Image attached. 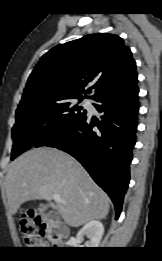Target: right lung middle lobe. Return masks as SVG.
<instances>
[{
  "mask_svg": "<svg viewBox=\"0 0 162 261\" xmlns=\"http://www.w3.org/2000/svg\"><path fill=\"white\" fill-rule=\"evenodd\" d=\"M84 97L52 95L28 98L18 105L16 123L12 129L11 160L37 144L51 133L86 115L83 107L72 103Z\"/></svg>",
  "mask_w": 162,
  "mask_h": 261,
  "instance_id": "right-lung-middle-lobe-1",
  "label": "right lung middle lobe"
}]
</instances>
